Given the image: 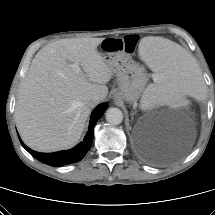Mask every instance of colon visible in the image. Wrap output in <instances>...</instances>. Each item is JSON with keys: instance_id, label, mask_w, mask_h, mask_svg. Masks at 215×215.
Wrapping results in <instances>:
<instances>
[{"instance_id": "colon-1", "label": "colon", "mask_w": 215, "mask_h": 215, "mask_svg": "<svg viewBox=\"0 0 215 215\" xmlns=\"http://www.w3.org/2000/svg\"><path fill=\"white\" fill-rule=\"evenodd\" d=\"M139 37L137 35H126L120 38H106L102 42V47L106 51H123L126 53H134L138 44Z\"/></svg>"}]
</instances>
